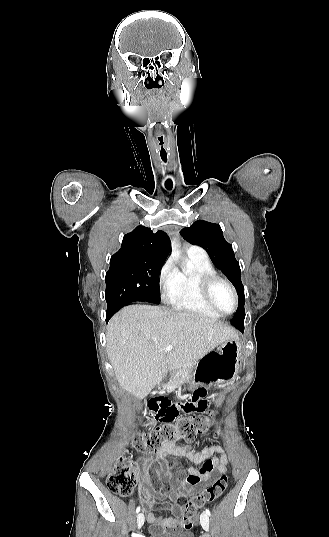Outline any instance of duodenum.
Instances as JSON below:
<instances>
[{"label":"duodenum","mask_w":329,"mask_h":537,"mask_svg":"<svg viewBox=\"0 0 329 537\" xmlns=\"http://www.w3.org/2000/svg\"><path fill=\"white\" fill-rule=\"evenodd\" d=\"M164 404H167L166 399L163 397H155L150 401L149 406L150 409L155 412L159 407H164Z\"/></svg>","instance_id":"duodenum-1"}]
</instances>
